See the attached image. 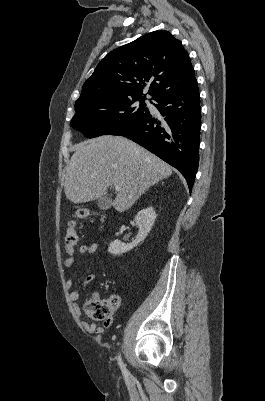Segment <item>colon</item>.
<instances>
[{"label":"colon","instance_id":"obj_1","mask_svg":"<svg viewBox=\"0 0 265 401\" xmlns=\"http://www.w3.org/2000/svg\"><path fill=\"white\" fill-rule=\"evenodd\" d=\"M90 215V212L86 209H79L76 211L78 218H86ZM77 243V232L75 223L70 222L67 228L65 237V246L69 249L75 247ZM119 306V298L112 296L107 299L93 298L89 300L85 305V311L87 315L94 321H108L115 313Z\"/></svg>","mask_w":265,"mask_h":401}]
</instances>
